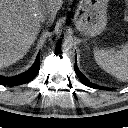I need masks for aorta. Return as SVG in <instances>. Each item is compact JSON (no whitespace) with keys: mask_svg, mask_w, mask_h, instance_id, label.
I'll use <instances>...</instances> for the list:
<instances>
[{"mask_svg":"<svg viewBox=\"0 0 128 128\" xmlns=\"http://www.w3.org/2000/svg\"><path fill=\"white\" fill-rule=\"evenodd\" d=\"M73 45V39L70 36H65L61 42V48L63 50L71 49Z\"/></svg>","mask_w":128,"mask_h":128,"instance_id":"1","label":"aorta"}]
</instances>
